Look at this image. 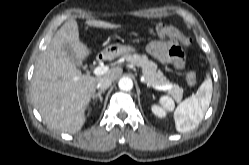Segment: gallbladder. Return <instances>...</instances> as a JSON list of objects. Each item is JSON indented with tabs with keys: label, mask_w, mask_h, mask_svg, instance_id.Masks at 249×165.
Returning <instances> with one entry per match:
<instances>
[{
	"label": "gallbladder",
	"mask_w": 249,
	"mask_h": 165,
	"mask_svg": "<svg viewBox=\"0 0 249 165\" xmlns=\"http://www.w3.org/2000/svg\"><path fill=\"white\" fill-rule=\"evenodd\" d=\"M66 49V52H67V55L68 57L70 58V60L77 66L81 67L82 66V61H80L75 53L73 52L71 46L69 44H67V46L65 47Z\"/></svg>",
	"instance_id": "bac80fb5"
}]
</instances>
